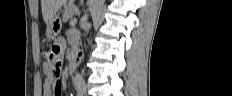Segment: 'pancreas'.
Segmentation results:
<instances>
[{
	"mask_svg": "<svg viewBox=\"0 0 232 96\" xmlns=\"http://www.w3.org/2000/svg\"><path fill=\"white\" fill-rule=\"evenodd\" d=\"M78 12L79 11H78L77 7L70 5V6L65 8L62 20L64 22H66V21L72 19L74 17V15H76Z\"/></svg>",
	"mask_w": 232,
	"mask_h": 96,
	"instance_id": "1",
	"label": "pancreas"
}]
</instances>
